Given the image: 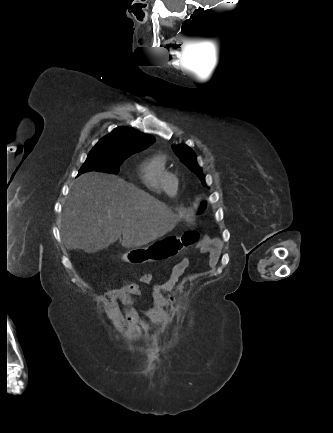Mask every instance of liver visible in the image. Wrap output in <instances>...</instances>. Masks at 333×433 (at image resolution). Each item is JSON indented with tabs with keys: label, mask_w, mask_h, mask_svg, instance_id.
<instances>
[{
	"label": "liver",
	"mask_w": 333,
	"mask_h": 433,
	"mask_svg": "<svg viewBox=\"0 0 333 433\" xmlns=\"http://www.w3.org/2000/svg\"><path fill=\"white\" fill-rule=\"evenodd\" d=\"M174 210L183 203L174 201ZM178 214L147 192L115 175L88 172L73 181L62 213L61 236L68 249L95 253L122 236L128 249L172 231Z\"/></svg>",
	"instance_id": "liver-1"
}]
</instances>
